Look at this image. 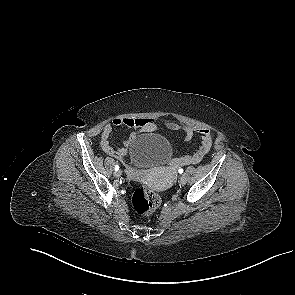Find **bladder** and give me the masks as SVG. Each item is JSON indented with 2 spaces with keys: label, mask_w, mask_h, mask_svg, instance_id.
Segmentation results:
<instances>
[{
  "label": "bladder",
  "mask_w": 295,
  "mask_h": 295,
  "mask_svg": "<svg viewBox=\"0 0 295 295\" xmlns=\"http://www.w3.org/2000/svg\"><path fill=\"white\" fill-rule=\"evenodd\" d=\"M172 157L169 141L160 134L147 133L133 140L129 148L130 163L136 168L165 165Z\"/></svg>",
  "instance_id": "bladder-1"
}]
</instances>
